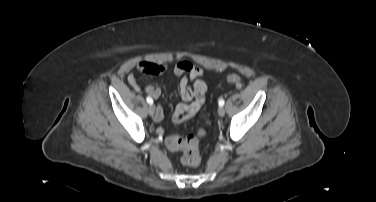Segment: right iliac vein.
<instances>
[{
	"mask_svg": "<svg viewBox=\"0 0 376 202\" xmlns=\"http://www.w3.org/2000/svg\"><path fill=\"white\" fill-rule=\"evenodd\" d=\"M154 112H155V107L151 104V105L148 107V113L150 114V116H153V115H154Z\"/></svg>",
	"mask_w": 376,
	"mask_h": 202,
	"instance_id": "1",
	"label": "right iliac vein"
}]
</instances>
